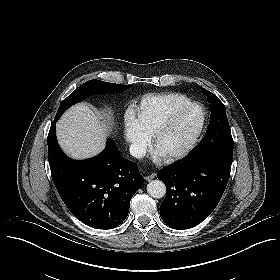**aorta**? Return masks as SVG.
Returning a JSON list of instances; mask_svg holds the SVG:
<instances>
[{"label":"aorta","mask_w":280,"mask_h":280,"mask_svg":"<svg viewBox=\"0 0 280 280\" xmlns=\"http://www.w3.org/2000/svg\"><path fill=\"white\" fill-rule=\"evenodd\" d=\"M147 192L151 197L160 199L166 194V186L161 180H152L147 185Z\"/></svg>","instance_id":"aorta-1"}]
</instances>
